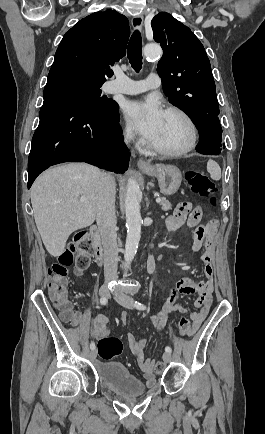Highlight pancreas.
<instances>
[{
  "mask_svg": "<svg viewBox=\"0 0 265 434\" xmlns=\"http://www.w3.org/2000/svg\"><path fill=\"white\" fill-rule=\"evenodd\" d=\"M161 206V210H164V212H168V210H172L170 202L166 200V198H160L159 202Z\"/></svg>",
  "mask_w": 265,
  "mask_h": 434,
  "instance_id": "1",
  "label": "pancreas"
}]
</instances>
